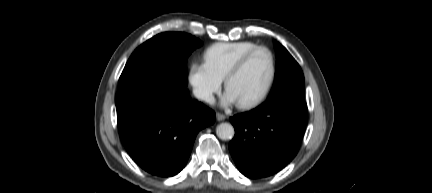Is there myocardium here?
<instances>
[{"instance_id": "obj_1", "label": "myocardium", "mask_w": 432, "mask_h": 193, "mask_svg": "<svg viewBox=\"0 0 432 193\" xmlns=\"http://www.w3.org/2000/svg\"><path fill=\"white\" fill-rule=\"evenodd\" d=\"M260 50H264V51L268 52L270 59H271V73L269 76V80H268L267 85L264 88V90L256 98L249 100V101L237 103V106L240 109L254 108V107L258 106L259 104H261L268 97L269 93L272 90L273 84L275 82L276 74H277V62H276L275 53L273 52V50L270 47H268L266 45H258L256 47H254L253 49H251L249 52H247L242 58H240L232 66V68L228 71V73L224 79L225 90L228 91L231 80L242 70V68L246 65V63L249 61V59L256 52H258Z\"/></svg>"}]
</instances>
